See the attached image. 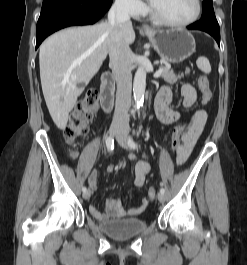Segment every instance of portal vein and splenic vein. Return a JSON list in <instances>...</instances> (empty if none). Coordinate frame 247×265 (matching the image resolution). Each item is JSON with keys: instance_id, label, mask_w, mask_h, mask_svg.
Wrapping results in <instances>:
<instances>
[{"instance_id": "portal-vein-and-splenic-vein-1", "label": "portal vein and splenic vein", "mask_w": 247, "mask_h": 265, "mask_svg": "<svg viewBox=\"0 0 247 265\" xmlns=\"http://www.w3.org/2000/svg\"><path fill=\"white\" fill-rule=\"evenodd\" d=\"M161 73H162V69L160 68V69H158V70L155 72L154 77H155V78H158V77L161 75Z\"/></svg>"}]
</instances>
